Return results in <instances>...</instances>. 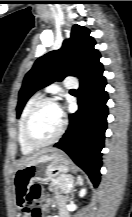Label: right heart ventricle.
<instances>
[{
    "mask_svg": "<svg viewBox=\"0 0 132 217\" xmlns=\"http://www.w3.org/2000/svg\"><path fill=\"white\" fill-rule=\"evenodd\" d=\"M40 100V94L36 93L34 95H32L26 102L23 111H22V115L19 121V126H18V143L20 146V150L23 154H30L32 153L35 149L30 147L29 145L26 144V142L24 141V137H23V127H24V123L26 120L27 115L29 114L30 110L32 109V107L36 104V102H38Z\"/></svg>",
    "mask_w": 132,
    "mask_h": 217,
    "instance_id": "1",
    "label": "right heart ventricle"
}]
</instances>
